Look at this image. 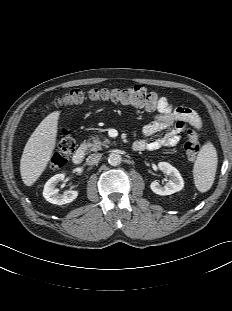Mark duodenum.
I'll return each mask as SVG.
<instances>
[{
    "instance_id": "410a0bca",
    "label": "duodenum",
    "mask_w": 232,
    "mask_h": 311,
    "mask_svg": "<svg viewBox=\"0 0 232 311\" xmlns=\"http://www.w3.org/2000/svg\"><path fill=\"white\" fill-rule=\"evenodd\" d=\"M144 144L142 142H134L133 148L136 151H140L143 149ZM85 156V150L83 148H79L75 151V153L72 156V160L75 164H80L83 162Z\"/></svg>"
}]
</instances>
